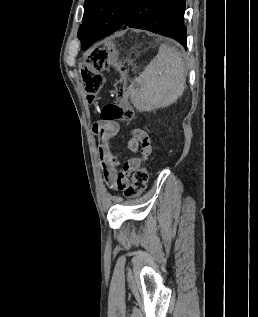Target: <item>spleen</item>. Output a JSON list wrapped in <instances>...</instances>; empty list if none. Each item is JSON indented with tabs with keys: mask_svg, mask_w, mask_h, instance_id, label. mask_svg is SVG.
<instances>
[{
	"mask_svg": "<svg viewBox=\"0 0 258 317\" xmlns=\"http://www.w3.org/2000/svg\"><path fill=\"white\" fill-rule=\"evenodd\" d=\"M141 88L129 86L131 102L137 110H154L176 102L185 88V64L175 46L161 44L155 58L135 78Z\"/></svg>",
	"mask_w": 258,
	"mask_h": 317,
	"instance_id": "1",
	"label": "spleen"
}]
</instances>
